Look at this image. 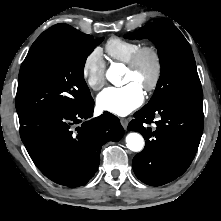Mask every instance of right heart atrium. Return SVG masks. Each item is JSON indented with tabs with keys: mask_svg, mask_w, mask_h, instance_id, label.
Returning a JSON list of instances; mask_svg holds the SVG:
<instances>
[{
	"mask_svg": "<svg viewBox=\"0 0 221 221\" xmlns=\"http://www.w3.org/2000/svg\"><path fill=\"white\" fill-rule=\"evenodd\" d=\"M82 77L92 90H99L105 84L106 62L99 48L92 49L84 58L81 67Z\"/></svg>",
	"mask_w": 221,
	"mask_h": 221,
	"instance_id": "1",
	"label": "right heart atrium"
}]
</instances>
